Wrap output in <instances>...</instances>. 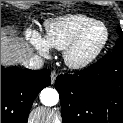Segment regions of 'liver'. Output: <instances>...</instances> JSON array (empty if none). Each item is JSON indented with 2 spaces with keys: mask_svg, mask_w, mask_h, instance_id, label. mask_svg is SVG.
<instances>
[{
  "mask_svg": "<svg viewBox=\"0 0 123 123\" xmlns=\"http://www.w3.org/2000/svg\"><path fill=\"white\" fill-rule=\"evenodd\" d=\"M32 55L33 50L28 43L1 31V62L6 64L22 62Z\"/></svg>",
  "mask_w": 123,
  "mask_h": 123,
  "instance_id": "liver-1",
  "label": "liver"
}]
</instances>
